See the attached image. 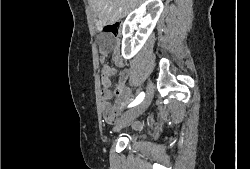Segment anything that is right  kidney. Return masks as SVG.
<instances>
[{
	"label": "right kidney",
	"mask_w": 250,
	"mask_h": 169,
	"mask_svg": "<svg viewBox=\"0 0 250 169\" xmlns=\"http://www.w3.org/2000/svg\"><path fill=\"white\" fill-rule=\"evenodd\" d=\"M149 6L150 12H147ZM163 8L162 0H145L143 4H140L139 8H135L128 14L122 28V56L124 58H132L141 50L161 12H163ZM132 14H134L133 18H131ZM144 14H147V16H144ZM136 22H140L139 28H137L135 36H132V30L136 28Z\"/></svg>",
	"instance_id": "obj_1"
}]
</instances>
